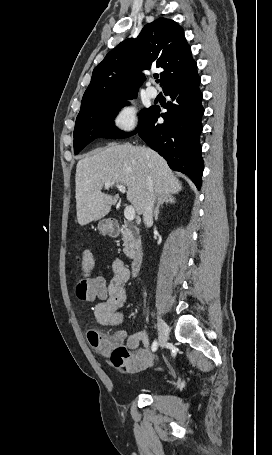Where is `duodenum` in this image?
Here are the masks:
<instances>
[{
  "label": "duodenum",
  "instance_id": "410a0bca",
  "mask_svg": "<svg viewBox=\"0 0 272 455\" xmlns=\"http://www.w3.org/2000/svg\"><path fill=\"white\" fill-rule=\"evenodd\" d=\"M120 225L116 222H113L109 226V233L112 236H117L120 233ZM143 261V255L140 251H137L131 257V273L133 276H137L140 272Z\"/></svg>",
  "mask_w": 272,
  "mask_h": 455
}]
</instances>
